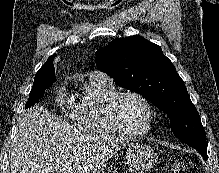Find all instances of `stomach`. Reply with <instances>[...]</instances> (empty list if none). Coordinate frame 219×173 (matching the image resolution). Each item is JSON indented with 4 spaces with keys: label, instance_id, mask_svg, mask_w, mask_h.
I'll return each mask as SVG.
<instances>
[{
    "label": "stomach",
    "instance_id": "obj_1",
    "mask_svg": "<svg viewBox=\"0 0 219 173\" xmlns=\"http://www.w3.org/2000/svg\"><path fill=\"white\" fill-rule=\"evenodd\" d=\"M122 155V163L132 173H144V171L152 168L157 161V155L154 150L149 145L140 142L128 145Z\"/></svg>",
    "mask_w": 219,
    "mask_h": 173
}]
</instances>
